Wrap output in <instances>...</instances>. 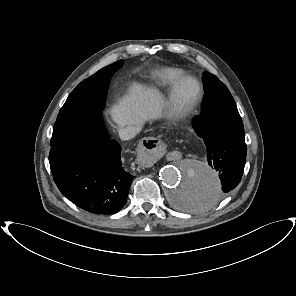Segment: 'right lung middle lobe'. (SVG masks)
Here are the masks:
<instances>
[{
    "instance_id": "dd1d6c3e",
    "label": "right lung middle lobe",
    "mask_w": 296,
    "mask_h": 296,
    "mask_svg": "<svg viewBox=\"0 0 296 296\" xmlns=\"http://www.w3.org/2000/svg\"><path fill=\"white\" fill-rule=\"evenodd\" d=\"M123 65L119 60L82 81L67 98L53 128L51 147H73L81 141L105 137L102 118L107 85L112 75Z\"/></svg>"
}]
</instances>
